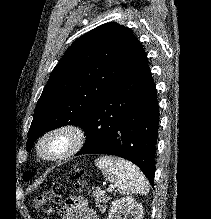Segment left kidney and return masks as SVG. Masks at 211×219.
<instances>
[{
    "label": "left kidney",
    "mask_w": 211,
    "mask_h": 219,
    "mask_svg": "<svg viewBox=\"0 0 211 219\" xmlns=\"http://www.w3.org/2000/svg\"><path fill=\"white\" fill-rule=\"evenodd\" d=\"M128 215L131 219H143L142 206L131 197L115 200L110 208L108 219H127Z\"/></svg>",
    "instance_id": "obj_1"
}]
</instances>
